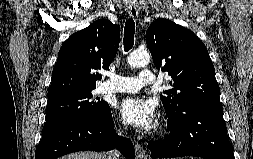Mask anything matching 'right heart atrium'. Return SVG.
Segmentation results:
<instances>
[{"label": "right heart atrium", "instance_id": "1", "mask_svg": "<svg viewBox=\"0 0 253 159\" xmlns=\"http://www.w3.org/2000/svg\"><path fill=\"white\" fill-rule=\"evenodd\" d=\"M120 129L122 130V129H123V127H122V126H120Z\"/></svg>", "mask_w": 253, "mask_h": 159}]
</instances>
